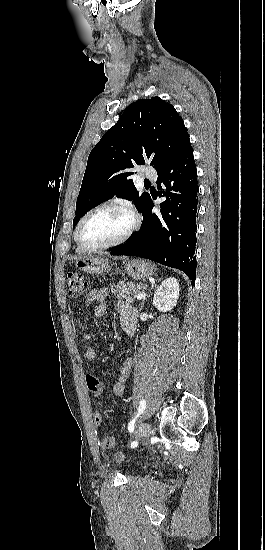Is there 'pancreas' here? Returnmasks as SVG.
Listing matches in <instances>:
<instances>
[{
  "mask_svg": "<svg viewBox=\"0 0 265 550\" xmlns=\"http://www.w3.org/2000/svg\"><path fill=\"white\" fill-rule=\"evenodd\" d=\"M146 285L136 284L128 281H121L117 283L116 289H112L114 294H117L118 298H125L127 302H133L137 295L144 291Z\"/></svg>",
  "mask_w": 265,
  "mask_h": 550,
  "instance_id": "pancreas-1",
  "label": "pancreas"
}]
</instances>
